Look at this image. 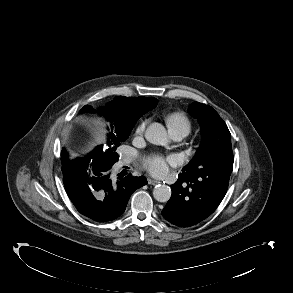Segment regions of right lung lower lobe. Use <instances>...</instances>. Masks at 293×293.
Returning a JSON list of instances; mask_svg holds the SVG:
<instances>
[{"instance_id":"obj_1","label":"right lung lower lobe","mask_w":293,"mask_h":293,"mask_svg":"<svg viewBox=\"0 0 293 293\" xmlns=\"http://www.w3.org/2000/svg\"><path fill=\"white\" fill-rule=\"evenodd\" d=\"M113 164L101 154H90L63 173L65 189L74 206L82 215L97 222L111 221L122 215L131 194L147 184L143 176L128 175L114 181Z\"/></svg>"}]
</instances>
